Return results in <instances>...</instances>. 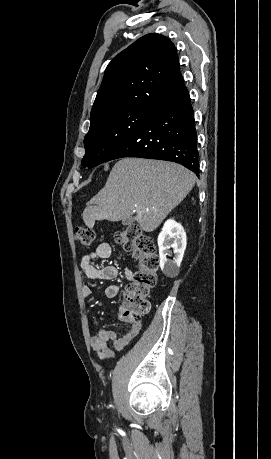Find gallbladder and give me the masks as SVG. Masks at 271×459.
I'll return each instance as SVG.
<instances>
[{
    "label": "gallbladder",
    "instance_id": "obj_1",
    "mask_svg": "<svg viewBox=\"0 0 271 459\" xmlns=\"http://www.w3.org/2000/svg\"><path fill=\"white\" fill-rule=\"evenodd\" d=\"M134 220H129V218H126V220H122L123 226H129V224H132Z\"/></svg>",
    "mask_w": 271,
    "mask_h": 459
}]
</instances>
